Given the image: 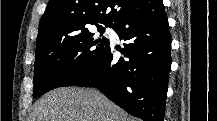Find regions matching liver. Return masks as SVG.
Segmentation results:
<instances>
[{"label": "liver", "mask_w": 217, "mask_h": 121, "mask_svg": "<svg viewBox=\"0 0 217 121\" xmlns=\"http://www.w3.org/2000/svg\"><path fill=\"white\" fill-rule=\"evenodd\" d=\"M127 114L94 89L58 88L36 102L33 121H128Z\"/></svg>", "instance_id": "obj_1"}]
</instances>
